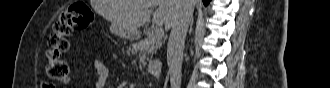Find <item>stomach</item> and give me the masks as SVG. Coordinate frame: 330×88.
Wrapping results in <instances>:
<instances>
[{"label":"stomach","instance_id":"stomach-1","mask_svg":"<svg viewBox=\"0 0 330 88\" xmlns=\"http://www.w3.org/2000/svg\"><path fill=\"white\" fill-rule=\"evenodd\" d=\"M120 35H121V37H124V38H129V39L134 38V35L131 32H123Z\"/></svg>","mask_w":330,"mask_h":88}]
</instances>
